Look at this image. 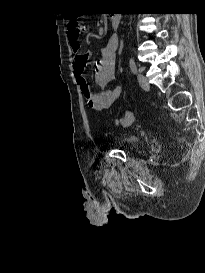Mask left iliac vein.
<instances>
[{
	"instance_id": "obj_1",
	"label": "left iliac vein",
	"mask_w": 205,
	"mask_h": 273,
	"mask_svg": "<svg viewBox=\"0 0 205 273\" xmlns=\"http://www.w3.org/2000/svg\"><path fill=\"white\" fill-rule=\"evenodd\" d=\"M138 83L143 90H149V83L146 77L140 72L137 75Z\"/></svg>"
}]
</instances>
